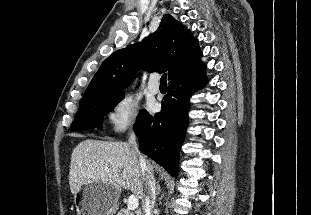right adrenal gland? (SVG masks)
Listing matches in <instances>:
<instances>
[{
	"label": "right adrenal gland",
	"instance_id": "2a0ac1e0",
	"mask_svg": "<svg viewBox=\"0 0 311 215\" xmlns=\"http://www.w3.org/2000/svg\"><path fill=\"white\" fill-rule=\"evenodd\" d=\"M160 186L159 185H157V195L160 193Z\"/></svg>",
	"mask_w": 311,
	"mask_h": 215
}]
</instances>
